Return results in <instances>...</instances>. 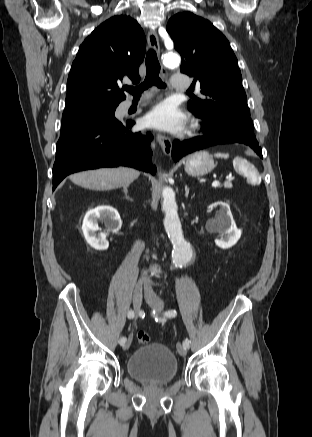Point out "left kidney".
Wrapping results in <instances>:
<instances>
[{
    "label": "left kidney",
    "mask_w": 312,
    "mask_h": 437,
    "mask_svg": "<svg viewBox=\"0 0 312 437\" xmlns=\"http://www.w3.org/2000/svg\"><path fill=\"white\" fill-rule=\"evenodd\" d=\"M212 206H220L217 215L207 223L211 232L221 234L215 239V244L222 249L230 248L240 239L242 231L237 228L227 203L216 202Z\"/></svg>",
    "instance_id": "1"
}]
</instances>
